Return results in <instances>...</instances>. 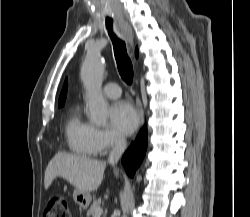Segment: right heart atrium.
<instances>
[{
    "label": "right heart atrium",
    "instance_id": "1",
    "mask_svg": "<svg viewBox=\"0 0 250 217\" xmlns=\"http://www.w3.org/2000/svg\"><path fill=\"white\" fill-rule=\"evenodd\" d=\"M124 144V139L118 133L110 129L95 128L93 135V147L95 154H104Z\"/></svg>",
    "mask_w": 250,
    "mask_h": 217
}]
</instances>
